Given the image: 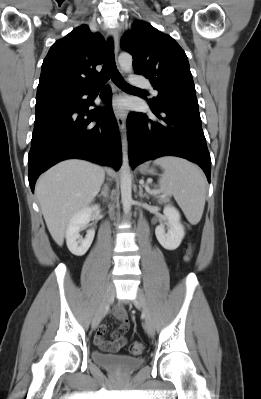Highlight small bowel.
I'll list each match as a JSON object with an SVG mask.
<instances>
[{
    "label": "small bowel",
    "instance_id": "1",
    "mask_svg": "<svg viewBox=\"0 0 261 399\" xmlns=\"http://www.w3.org/2000/svg\"><path fill=\"white\" fill-rule=\"evenodd\" d=\"M114 317L119 321L118 329L112 334V340L106 341L104 335L106 333V325L101 324L94 337L95 345L103 351H118L127 344L125 333L129 328V320L121 307H116Z\"/></svg>",
    "mask_w": 261,
    "mask_h": 399
}]
</instances>
